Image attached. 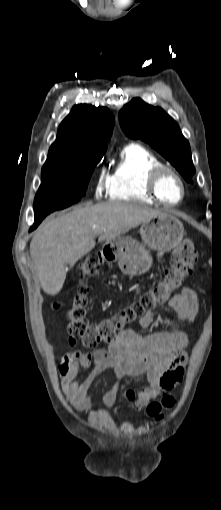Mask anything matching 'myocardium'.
Returning a JSON list of instances; mask_svg holds the SVG:
<instances>
[{
  "mask_svg": "<svg viewBox=\"0 0 221 510\" xmlns=\"http://www.w3.org/2000/svg\"><path fill=\"white\" fill-rule=\"evenodd\" d=\"M165 174H171L172 176H174L176 178V180L180 184V187L182 190V195H181L180 200L177 202L165 201L159 193L158 185H159V182L161 181L162 177ZM146 188H147V191L150 194V196L157 203H159L160 205H163L165 207H175V206L181 204L185 200L186 194H187L186 183H185L184 179L182 178V176L180 175V173L177 170H175L174 168H172L168 165H164V164L153 168L148 173L147 181H146Z\"/></svg>",
  "mask_w": 221,
  "mask_h": 510,
  "instance_id": "f54148a6",
  "label": "myocardium"
}]
</instances>
